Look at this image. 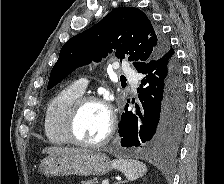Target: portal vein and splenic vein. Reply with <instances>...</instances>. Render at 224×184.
Masks as SVG:
<instances>
[{"mask_svg": "<svg viewBox=\"0 0 224 184\" xmlns=\"http://www.w3.org/2000/svg\"><path fill=\"white\" fill-rule=\"evenodd\" d=\"M101 184H109L108 180H103Z\"/></svg>", "mask_w": 224, "mask_h": 184, "instance_id": "portal-vein-and-splenic-vein-1", "label": "portal vein and splenic vein"}]
</instances>
